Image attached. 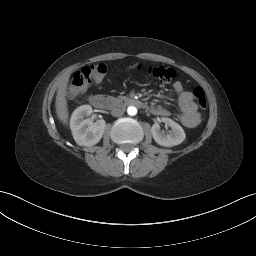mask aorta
I'll use <instances>...</instances> for the list:
<instances>
[{
	"label": "aorta",
	"instance_id": "1",
	"mask_svg": "<svg viewBox=\"0 0 256 256\" xmlns=\"http://www.w3.org/2000/svg\"><path fill=\"white\" fill-rule=\"evenodd\" d=\"M127 113H128V115H130V116H135V115L137 114V109H136V107H134V106H129V107L127 108Z\"/></svg>",
	"mask_w": 256,
	"mask_h": 256
}]
</instances>
